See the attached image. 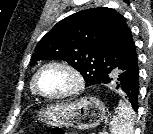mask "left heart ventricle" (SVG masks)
<instances>
[{"mask_svg":"<svg viewBox=\"0 0 153 134\" xmlns=\"http://www.w3.org/2000/svg\"><path fill=\"white\" fill-rule=\"evenodd\" d=\"M72 77L59 68L45 69L38 78V87L45 94H58L71 88Z\"/></svg>","mask_w":153,"mask_h":134,"instance_id":"1","label":"left heart ventricle"}]
</instances>
